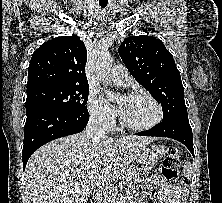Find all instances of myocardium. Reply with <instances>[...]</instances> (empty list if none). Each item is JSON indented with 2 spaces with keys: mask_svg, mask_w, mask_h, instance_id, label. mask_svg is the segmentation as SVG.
Listing matches in <instances>:
<instances>
[{
  "mask_svg": "<svg viewBox=\"0 0 222 203\" xmlns=\"http://www.w3.org/2000/svg\"><path fill=\"white\" fill-rule=\"evenodd\" d=\"M127 96L128 97H145V98H147L156 107V109H157V116H156V118L152 122H150L148 124H145V125H133V124L127 122L124 119V117L122 116V114L119 112V120H120V123H121V125L123 127L127 128L129 130H132V131H146V130L154 128L155 126H157L162 121L163 116H164L163 107L157 101V99L154 96H152L150 93L145 92V91H134V92L128 93Z\"/></svg>",
  "mask_w": 222,
  "mask_h": 203,
  "instance_id": "myocardium-1",
  "label": "myocardium"
}]
</instances>
